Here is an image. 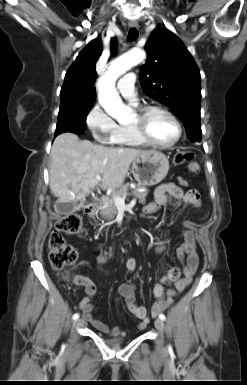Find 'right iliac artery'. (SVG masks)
Returning <instances> with one entry per match:
<instances>
[{"label": "right iliac artery", "mask_w": 247, "mask_h": 385, "mask_svg": "<svg viewBox=\"0 0 247 385\" xmlns=\"http://www.w3.org/2000/svg\"><path fill=\"white\" fill-rule=\"evenodd\" d=\"M79 318V314L78 313H75L74 315H73V319L74 320H77Z\"/></svg>", "instance_id": "1"}]
</instances>
